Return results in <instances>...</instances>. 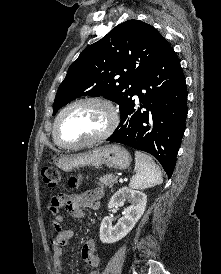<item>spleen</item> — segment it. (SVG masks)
<instances>
[{"instance_id":"spleen-1","label":"spleen","mask_w":221,"mask_h":274,"mask_svg":"<svg viewBox=\"0 0 221 274\" xmlns=\"http://www.w3.org/2000/svg\"><path fill=\"white\" fill-rule=\"evenodd\" d=\"M135 172L129 183L133 189H148L163 181L161 170L153 159L139 151H135Z\"/></svg>"}]
</instances>
